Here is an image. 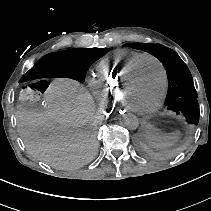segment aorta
<instances>
[{"instance_id":"1","label":"aorta","mask_w":211,"mask_h":211,"mask_svg":"<svg viewBox=\"0 0 211 211\" xmlns=\"http://www.w3.org/2000/svg\"><path fill=\"white\" fill-rule=\"evenodd\" d=\"M120 124L129 130H135L139 126V120L134 114L126 113L121 117Z\"/></svg>"}]
</instances>
